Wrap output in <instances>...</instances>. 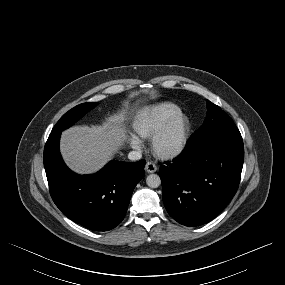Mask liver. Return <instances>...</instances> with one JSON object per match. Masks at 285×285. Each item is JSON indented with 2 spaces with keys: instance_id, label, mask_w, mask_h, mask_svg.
Here are the masks:
<instances>
[{
  "instance_id": "1",
  "label": "liver",
  "mask_w": 285,
  "mask_h": 285,
  "mask_svg": "<svg viewBox=\"0 0 285 285\" xmlns=\"http://www.w3.org/2000/svg\"><path fill=\"white\" fill-rule=\"evenodd\" d=\"M125 111L106 118L98 126H74L62 133L61 153L70 169L79 174L102 168L125 140Z\"/></svg>"
}]
</instances>
